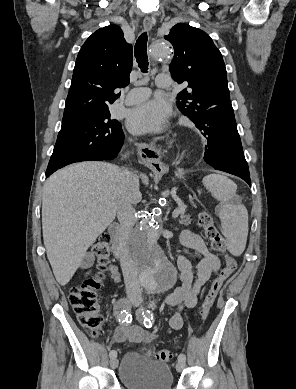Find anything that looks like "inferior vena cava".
<instances>
[{"label": "inferior vena cava", "mask_w": 296, "mask_h": 389, "mask_svg": "<svg viewBox=\"0 0 296 389\" xmlns=\"http://www.w3.org/2000/svg\"><path fill=\"white\" fill-rule=\"evenodd\" d=\"M134 178V174L127 169H119L118 179L120 188V199L117 204V218L120 222V239L125 248L135 225V209L132 206L129 188ZM121 267L126 286L128 298L134 303H140L142 293L137 277V271L130 257L125 256L121 260Z\"/></svg>", "instance_id": "1"}]
</instances>
